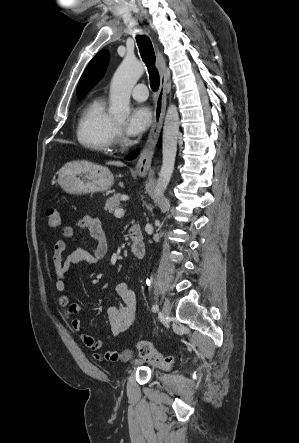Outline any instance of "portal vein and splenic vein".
Wrapping results in <instances>:
<instances>
[{"instance_id": "18ae733b", "label": "portal vein and splenic vein", "mask_w": 299, "mask_h": 443, "mask_svg": "<svg viewBox=\"0 0 299 443\" xmlns=\"http://www.w3.org/2000/svg\"><path fill=\"white\" fill-rule=\"evenodd\" d=\"M123 215H124V210H123L122 208H118V209H116L115 212H114V216H115L116 218H120V217H122Z\"/></svg>"}]
</instances>
